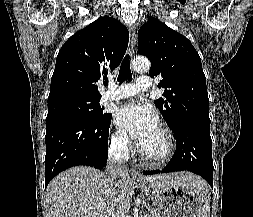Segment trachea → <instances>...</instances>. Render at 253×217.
Returning a JSON list of instances; mask_svg holds the SVG:
<instances>
[{
  "label": "trachea",
  "instance_id": "trachea-1",
  "mask_svg": "<svg viewBox=\"0 0 253 217\" xmlns=\"http://www.w3.org/2000/svg\"><path fill=\"white\" fill-rule=\"evenodd\" d=\"M126 79H132V73L130 70V57L127 54L120 66V71H119V75H118V82H123Z\"/></svg>",
  "mask_w": 253,
  "mask_h": 217
}]
</instances>
